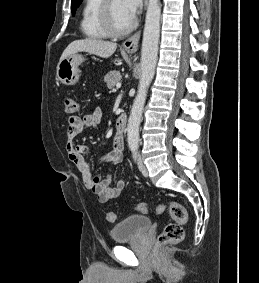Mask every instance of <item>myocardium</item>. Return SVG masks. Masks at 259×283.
<instances>
[{
  "instance_id": "f54148a6",
  "label": "myocardium",
  "mask_w": 259,
  "mask_h": 283,
  "mask_svg": "<svg viewBox=\"0 0 259 283\" xmlns=\"http://www.w3.org/2000/svg\"><path fill=\"white\" fill-rule=\"evenodd\" d=\"M100 19L106 33L112 37H122L130 33L136 26L137 21L132 19L130 24L124 29H118L114 23L112 15V0H103L100 7Z\"/></svg>"
}]
</instances>
